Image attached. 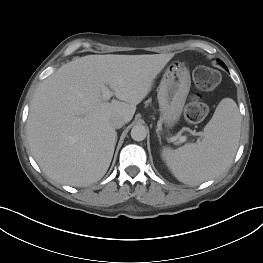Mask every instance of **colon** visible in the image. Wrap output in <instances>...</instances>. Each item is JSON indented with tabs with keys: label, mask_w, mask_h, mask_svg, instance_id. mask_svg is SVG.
<instances>
[{
	"label": "colon",
	"mask_w": 263,
	"mask_h": 263,
	"mask_svg": "<svg viewBox=\"0 0 263 263\" xmlns=\"http://www.w3.org/2000/svg\"><path fill=\"white\" fill-rule=\"evenodd\" d=\"M193 78L197 89L201 92L213 90L220 83V74L217 70L199 66L194 70ZM208 114V107L199 96H193L185 108V119L190 124H197Z\"/></svg>",
	"instance_id": "1"
}]
</instances>
